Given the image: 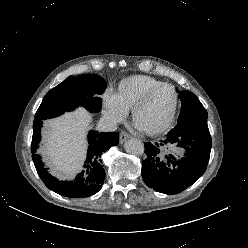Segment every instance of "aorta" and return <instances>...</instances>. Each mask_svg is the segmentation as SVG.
I'll list each match as a JSON object with an SVG mask.
<instances>
[{"instance_id": "762f6f07", "label": "aorta", "mask_w": 248, "mask_h": 248, "mask_svg": "<svg viewBox=\"0 0 248 248\" xmlns=\"http://www.w3.org/2000/svg\"><path fill=\"white\" fill-rule=\"evenodd\" d=\"M127 153L132 155H142L144 153V144L136 138L127 140L124 144Z\"/></svg>"}]
</instances>
